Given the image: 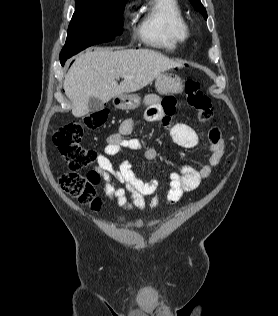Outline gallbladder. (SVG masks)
<instances>
[{
	"label": "gallbladder",
	"mask_w": 278,
	"mask_h": 316,
	"mask_svg": "<svg viewBox=\"0 0 278 316\" xmlns=\"http://www.w3.org/2000/svg\"><path fill=\"white\" fill-rule=\"evenodd\" d=\"M89 112L95 113L104 108V103L96 97H90L88 101Z\"/></svg>",
	"instance_id": "1"
}]
</instances>
